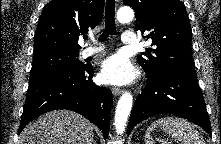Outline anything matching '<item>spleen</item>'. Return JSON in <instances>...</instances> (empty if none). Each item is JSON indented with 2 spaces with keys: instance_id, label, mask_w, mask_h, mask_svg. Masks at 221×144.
<instances>
[{
  "instance_id": "obj_1",
  "label": "spleen",
  "mask_w": 221,
  "mask_h": 144,
  "mask_svg": "<svg viewBox=\"0 0 221 144\" xmlns=\"http://www.w3.org/2000/svg\"><path fill=\"white\" fill-rule=\"evenodd\" d=\"M156 127H160L182 144H206L195 127L190 122L180 117L169 116L160 118L151 124L149 130L151 131ZM149 130L145 134V143L154 144Z\"/></svg>"
}]
</instances>
